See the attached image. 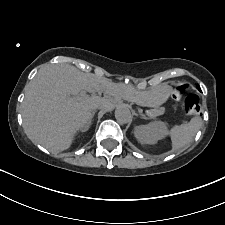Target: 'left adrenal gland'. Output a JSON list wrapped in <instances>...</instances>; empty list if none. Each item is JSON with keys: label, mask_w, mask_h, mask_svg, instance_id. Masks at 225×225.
Masks as SVG:
<instances>
[{"label": "left adrenal gland", "mask_w": 225, "mask_h": 225, "mask_svg": "<svg viewBox=\"0 0 225 225\" xmlns=\"http://www.w3.org/2000/svg\"><path fill=\"white\" fill-rule=\"evenodd\" d=\"M142 119H149L148 117H146L144 114H140Z\"/></svg>", "instance_id": "a2214340"}]
</instances>
